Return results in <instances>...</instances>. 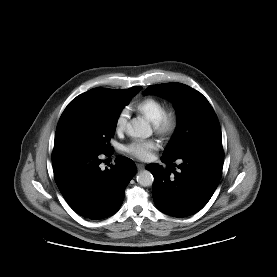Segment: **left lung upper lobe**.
<instances>
[{
  "label": "left lung upper lobe",
  "instance_id": "1",
  "mask_svg": "<svg viewBox=\"0 0 277 277\" xmlns=\"http://www.w3.org/2000/svg\"><path fill=\"white\" fill-rule=\"evenodd\" d=\"M170 99L177 111L176 131L162 159L174 162L204 145L222 143L217 116L208 100L197 90L181 83L151 85L143 94Z\"/></svg>",
  "mask_w": 277,
  "mask_h": 277
}]
</instances>
